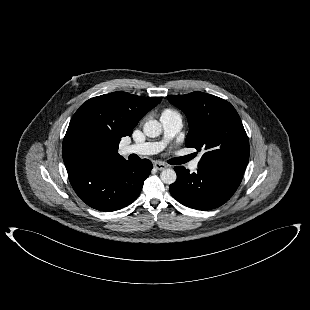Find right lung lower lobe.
Returning a JSON list of instances; mask_svg holds the SVG:
<instances>
[{
  "label": "right lung lower lobe",
  "mask_w": 310,
  "mask_h": 310,
  "mask_svg": "<svg viewBox=\"0 0 310 310\" xmlns=\"http://www.w3.org/2000/svg\"><path fill=\"white\" fill-rule=\"evenodd\" d=\"M152 163L127 160L105 162L68 174L69 181L84 203L99 211H115L137 199Z\"/></svg>",
  "instance_id": "98d812e1"
}]
</instances>
